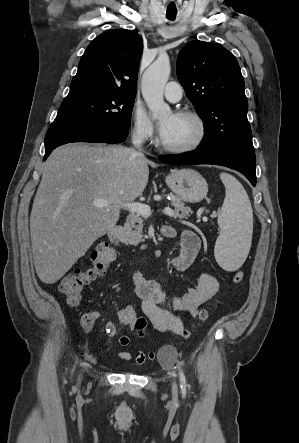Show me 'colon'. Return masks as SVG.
Here are the masks:
<instances>
[{
  "label": "colon",
  "instance_id": "1",
  "mask_svg": "<svg viewBox=\"0 0 299 443\" xmlns=\"http://www.w3.org/2000/svg\"><path fill=\"white\" fill-rule=\"evenodd\" d=\"M116 258V252L107 242L100 243L91 253V264L85 268L76 269L65 275L60 284L59 291L65 296L70 306H77L81 300L83 289L91 283L96 277L104 274L112 265ZM245 278L243 271L235 272L233 283L240 284ZM208 317V311L202 310L199 319L204 321ZM117 321L119 326L130 330L135 335L140 331L143 320L140 314L132 306H125L117 313ZM82 325L89 326L90 319L87 315L82 318ZM191 335V329L182 330L181 337L188 338ZM174 356L173 349L166 347L160 351V358L170 361Z\"/></svg>",
  "mask_w": 299,
  "mask_h": 443
}]
</instances>
